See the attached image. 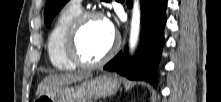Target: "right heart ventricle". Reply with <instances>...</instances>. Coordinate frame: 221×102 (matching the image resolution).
I'll list each match as a JSON object with an SVG mask.
<instances>
[{
    "instance_id": "1",
    "label": "right heart ventricle",
    "mask_w": 221,
    "mask_h": 102,
    "mask_svg": "<svg viewBox=\"0 0 221 102\" xmlns=\"http://www.w3.org/2000/svg\"><path fill=\"white\" fill-rule=\"evenodd\" d=\"M81 13V6L74 3L68 4L59 12L48 34V56L52 65L58 70H73L76 66L66 55L65 42L71 24Z\"/></svg>"
}]
</instances>
